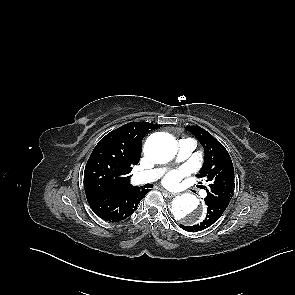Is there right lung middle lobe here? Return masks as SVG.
I'll return each mask as SVG.
<instances>
[{
	"label": "right lung middle lobe",
	"instance_id": "1",
	"mask_svg": "<svg viewBox=\"0 0 295 295\" xmlns=\"http://www.w3.org/2000/svg\"><path fill=\"white\" fill-rule=\"evenodd\" d=\"M131 170L107 151H93L84 171L85 192L111 191Z\"/></svg>",
	"mask_w": 295,
	"mask_h": 295
}]
</instances>
